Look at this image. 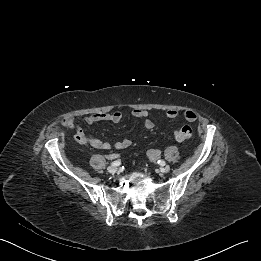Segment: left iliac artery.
Instances as JSON below:
<instances>
[{
	"label": "left iliac artery",
	"instance_id": "1",
	"mask_svg": "<svg viewBox=\"0 0 261 261\" xmlns=\"http://www.w3.org/2000/svg\"><path fill=\"white\" fill-rule=\"evenodd\" d=\"M158 163H159L161 166L165 165V162H164L163 160H159Z\"/></svg>",
	"mask_w": 261,
	"mask_h": 261
}]
</instances>
